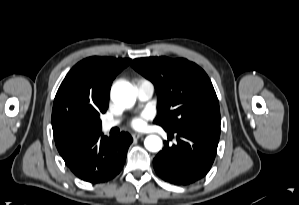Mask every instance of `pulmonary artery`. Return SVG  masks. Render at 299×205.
<instances>
[{
  "instance_id": "obj_1",
  "label": "pulmonary artery",
  "mask_w": 299,
  "mask_h": 205,
  "mask_svg": "<svg viewBox=\"0 0 299 205\" xmlns=\"http://www.w3.org/2000/svg\"><path fill=\"white\" fill-rule=\"evenodd\" d=\"M136 94L140 101L149 100L154 94V85L152 82L146 79H140L135 85ZM120 123L119 119H108L103 121L102 128L104 131H109L112 128L118 126Z\"/></svg>"
}]
</instances>
